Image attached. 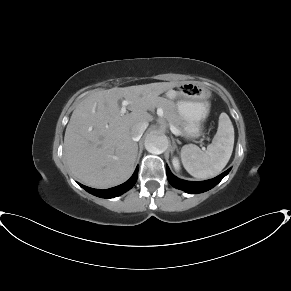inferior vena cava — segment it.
Returning a JSON list of instances; mask_svg holds the SVG:
<instances>
[{
    "label": "inferior vena cava",
    "instance_id": "inferior-vena-cava-1",
    "mask_svg": "<svg viewBox=\"0 0 291 291\" xmlns=\"http://www.w3.org/2000/svg\"><path fill=\"white\" fill-rule=\"evenodd\" d=\"M146 123L136 124L131 128V135L134 141H139L141 136L143 135L144 131L147 128Z\"/></svg>",
    "mask_w": 291,
    "mask_h": 291
}]
</instances>
